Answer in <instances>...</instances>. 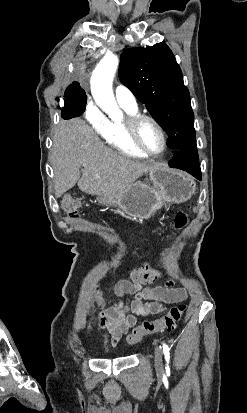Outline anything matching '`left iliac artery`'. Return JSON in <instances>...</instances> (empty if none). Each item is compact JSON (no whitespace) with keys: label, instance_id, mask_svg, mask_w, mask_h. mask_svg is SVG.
<instances>
[{"label":"left iliac artery","instance_id":"1","mask_svg":"<svg viewBox=\"0 0 247 413\" xmlns=\"http://www.w3.org/2000/svg\"><path fill=\"white\" fill-rule=\"evenodd\" d=\"M162 347H163V353L165 355V360L167 362V366L165 368L167 369V368H169L168 364H169V360H170V352H169L170 349L165 343L162 344Z\"/></svg>","mask_w":247,"mask_h":413}]
</instances>
